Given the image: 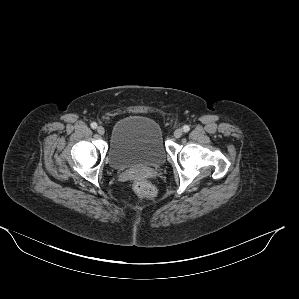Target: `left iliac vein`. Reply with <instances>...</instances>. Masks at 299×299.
Here are the masks:
<instances>
[{
  "mask_svg": "<svg viewBox=\"0 0 299 299\" xmlns=\"http://www.w3.org/2000/svg\"><path fill=\"white\" fill-rule=\"evenodd\" d=\"M183 134V130L181 128H178L174 131V137L180 138Z\"/></svg>",
  "mask_w": 299,
  "mask_h": 299,
  "instance_id": "obj_1",
  "label": "left iliac vein"
}]
</instances>
